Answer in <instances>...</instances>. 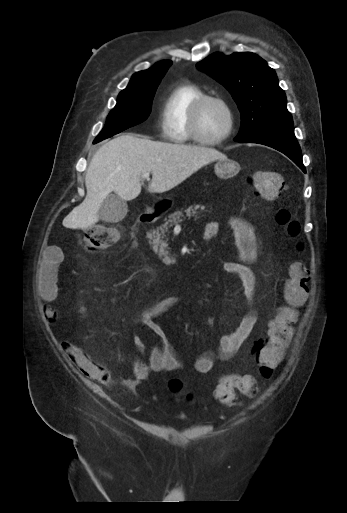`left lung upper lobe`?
Masks as SVG:
<instances>
[{"mask_svg": "<svg viewBox=\"0 0 347 513\" xmlns=\"http://www.w3.org/2000/svg\"><path fill=\"white\" fill-rule=\"evenodd\" d=\"M196 66L221 83L235 100L241 113L235 141L268 128L293 125L276 73L259 56L250 52L230 56L214 53Z\"/></svg>", "mask_w": 347, "mask_h": 513, "instance_id": "obj_1", "label": "left lung upper lobe"}]
</instances>
